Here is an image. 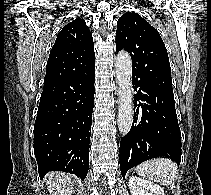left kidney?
<instances>
[{
  "label": "left kidney",
  "mask_w": 211,
  "mask_h": 195,
  "mask_svg": "<svg viewBox=\"0 0 211 195\" xmlns=\"http://www.w3.org/2000/svg\"><path fill=\"white\" fill-rule=\"evenodd\" d=\"M128 187L131 195H165L160 186L137 176L130 177Z\"/></svg>",
  "instance_id": "5707ae66"
}]
</instances>
